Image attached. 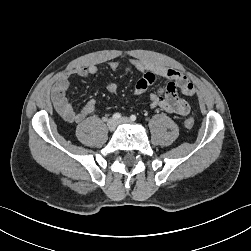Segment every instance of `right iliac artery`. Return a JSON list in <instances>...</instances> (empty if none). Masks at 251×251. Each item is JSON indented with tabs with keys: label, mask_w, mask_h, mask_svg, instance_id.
I'll use <instances>...</instances> for the list:
<instances>
[{
	"label": "right iliac artery",
	"mask_w": 251,
	"mask_h": 251,
	"mask_svg": "<svg viewBox=\"0 0 251 251\" xmlns=\"http://www.w3.org/2000/svg\"><path fill=\"white\" fill-rule=\"evenodd\" d=\"M113 118L114 119H120L121 118V114L120 113H115V114H113Z\"/></svg>",
	"instance_id": "obj_1"
}]
</instances>
